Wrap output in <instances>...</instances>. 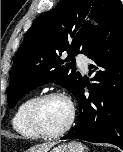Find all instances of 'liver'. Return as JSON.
<instances>
[{
  "label": "liver",
  "instance_id": "liver-1",
  "mask_svg": "<svg viewBox=\"0 0 123 152\" xmlns=\"http://www.w3.org/2000/svg\"><path fill=\"white\" fill-rule=\"evenodd\" d=\"M54 145L55 143H43L29 148L27 152H48Z\"/></svg>",
  "mask_w": 123,
  "mask_h": 152
}]
</instances>
